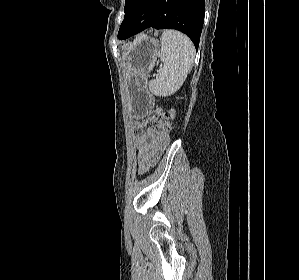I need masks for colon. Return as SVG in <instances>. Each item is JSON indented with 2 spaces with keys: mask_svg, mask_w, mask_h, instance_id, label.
I'll use <instances>...</instances> for the list:
<instances>
[{
  "mask_svg": "<svg viewBox=\"0 0 299 280\" xmlns=\"http://www.w3.org/2000/svg\"><path fill=\"white\" fill-rule=\"evenodd\" d=\"M150 119L153 121L161 130L166 133H170L172 126V114L162 110L161 108H156L150 114Z\"/></svg>",
  "mask_w": 299,
  "mask_h": 280,
  "instance_id": "colon-1",
  "label": "colon"
}]
</instances>
